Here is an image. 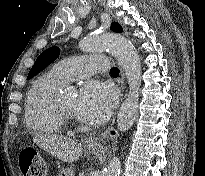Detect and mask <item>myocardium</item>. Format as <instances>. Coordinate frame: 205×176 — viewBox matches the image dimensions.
<instances>
[{"label":"myocardium","instance_id":"f54148a6","mask_svg":"<svg viewBox=\"0 0 205 176\" xmlns=\"http://www.w3.org/2000/svg\"><path fill=\"white\" fill-rule=\"evenodd\" d=\"M55 108L57 115L63 120V122H69L74 120V114L72 112L65 110L58 102V100H56Z\"/></svg>","mask_w":205,"mask_h":176}]
</instances>
